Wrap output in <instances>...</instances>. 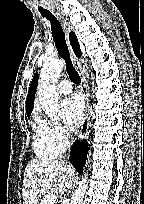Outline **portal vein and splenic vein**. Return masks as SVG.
<instances>
[{
  "mask_svg": "<svg viewBox=\"0 0 144 204\" xmlns=\"http://www.w3.org/2000/svg\"><path fill=\"white\" fill-rule=\"evenodd\" d=\"M56 198L57 197L54 194L47 196L46 199L44 200V204H55Z\"/></svg>",
  "mask_w": 144,
  "mask_h": 204,
  "instance_id": "obj_1",
  "label": "portal vein and splenic vein"
}]
</instances>
